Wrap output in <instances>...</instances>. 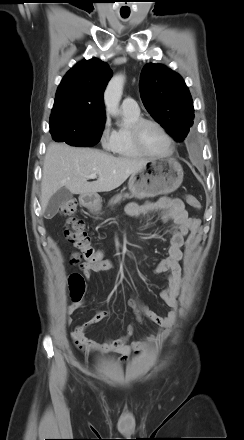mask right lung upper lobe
<instances>
[{
    "mask_svg": "<svg viewBox=\"0 0 244 440\" xmlns=\"http://www.w3.org/2000/svg\"><path fill=\"white\" fill-rule=\"evenodd\" d=\"M111 77L109 65L99 59L77 63L58 87L50 121L105 122L103 93Z\"/></svg>",
    "mask_w": 244,
    "mask_h": 440,
    "instance_id": "obj_1",
    "label": "right lung upper lobe"
}]
</instances>
